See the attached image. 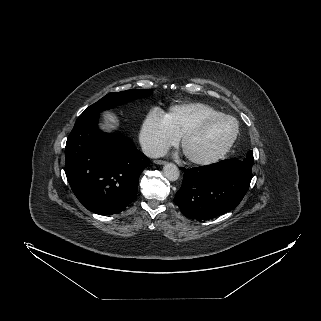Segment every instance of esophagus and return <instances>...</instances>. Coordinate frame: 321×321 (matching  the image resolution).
I'll return each instance as SVG.
<instances>
[{"mask_svg":"<svg viewBox=\"0 0 321 321\" xmlns=\"http://www.w3.org/2000/svg\"><path fill=\"white\" fill-rule=\"evenodd\" d=\"M154 163H155V164H158V165H163V164H165L166 162L163 161V160H154Z\"/></svg>","mask_w":321,"mask_h":321,"instance_id":"34e87169","label":"esophagus"}]
</instances>
